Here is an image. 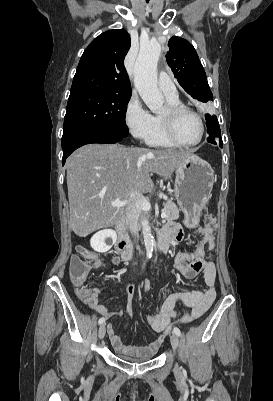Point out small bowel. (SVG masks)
Wrapping results in <instances>:
<instances>
[{"mask_svg":"<svg viewBox=\"0 0 273 401\" xmlns=\"http://www.w3.org/2000/svg\"><path fill=\"white\" fill-rule=\"evenodd\" d=\"M205 222L206 224L199 230L200 236L196 248L190 252H179L174 258V267L180 274L189 280H194L202 275L205 287L168 295L157 312L146 317L147 323L156 333H165L176 319L186 323L199 318L211 307L216 298V266L214 262L206 259L207 249H212L214 246V223L216 222V217L207 215ZM162 232L172 240L180 239L185 233L183 228H176L173 225L166 226ZM85 257L94 263V268L103 266V262L98 256L85 252ZM112 261L114 264H119L120 258L114 257ZM125 288L129 298L127 317L132 318L131 299L135 294V288L129 283H126ZM102 291H98L96 284H89L87 290H77L74 302L87 305L101 319L109 321L113 316L121 315V313L113 312L99 302ZM179 306H184L187 310L181 312L178 308ZM106 332L115 351L123 355L135 354L140 357H148L153 355L157 345H164L166 342L164 336H157L156 343L142 347H132L122 342L112 323H107Z\"/></svg>","mask_w":273,"mask_h":401,"instance_id":"1","label":"small bowel"}]
</instances>
